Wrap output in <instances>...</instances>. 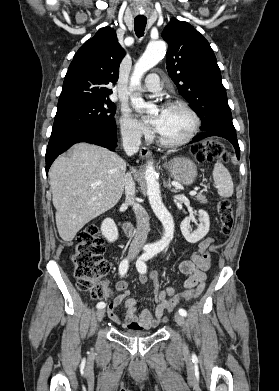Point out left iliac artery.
Wrapping results in <instances>:
<instances>
[{
    "label": "left iliac artery",
    "instance_id": "obj_1",
    "mask_svg": "<svg viewBox=\"0 0 279 391\" xmlns=\"http://www.w3.org/2000/svg\"><path fill=\"white\" fill-rule=\"evenodd\" d=\"M155 254H156V251L153 250V249L146 250V252L136 262V267H137L138 272H140L141 274L146 273L147 266H146L145 262L147 260H149L150 258H152ZM178 312L182 316H186L187 315V312H186L185 309L180 308L178 310Z\"/></svg>",
    "mask_w": 279,
    "mask_h": 391
}]
</instances>
